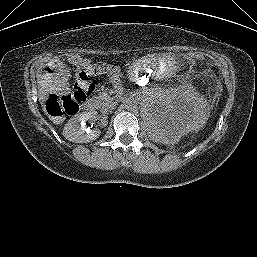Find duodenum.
<instances>
[{
    "instance_id": "1",
    "label": "duodenum",
    "mask_w": 257,
    "mask_h": 257,
    "mask_svg": "<svg viewBox=\"0 0 257 257\" xmlns=\"http://www.w3.org/2000/svg\"><path fill=\"white\" fill-rule=\"evenodd\" d=\"M124 99V95L121 93V92H118L115 97H114V100L117 101V102H120ZM84 110L88 113H91L95 110V104L94 102L90 101V102H87L85 105H84Z\"/></svg>"
}]
</instances>
